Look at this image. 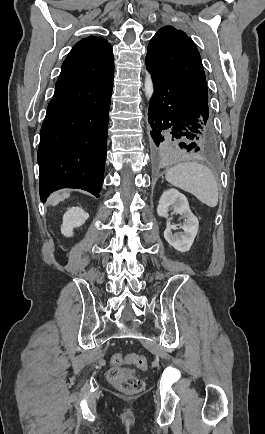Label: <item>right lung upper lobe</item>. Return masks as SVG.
<instances>
[{"label":"right lung upper lobe","instance_id":"obj_1","mask_svg":"<svg viewBox=\"0 0 265 434\" xmlns=\"http://www.w3.org/2000/svg\"><path fill=\"white\" fill-rule=\"evenodd\" d=\"M75 46L77 47H92L95 49H106V50H111V46L108 43L107 40H105L102 37H95V36H90L87 38H84L82 40H80Z\"/></svg>","mask_w":265,"mask_h":434}]
</instances>
